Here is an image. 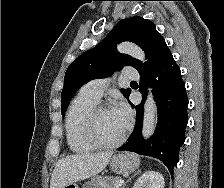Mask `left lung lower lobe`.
<instances>
[{"instance_id": "left-lung-lower-lobe-1", "label": "left lung lower lobe", "mask_w": 224, "mask_h": 188, "mask_svg": "<svg viewBox=\"0 0 224 188\" xmlns=\"http://www.w3.org/2000/svg\"><path fill=\"white\" fill-rule=\"evenodd\" d=\"M140 76L141 93L146 94L148 85L153 88L158 108V124L153 136L149 140H143L141 129L145 98L137 106L131 104L136 109L135 130L129 141L118 150L158 158L173 174L180 146L185 141V128L188 122V97L180 68L171 55L152 71Z\"/></svg>"}]
</instances>
